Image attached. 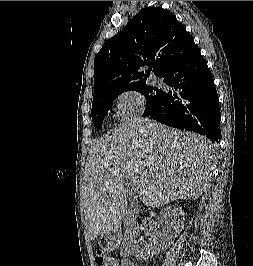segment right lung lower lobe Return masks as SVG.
<instances>
[{
    "label": "right lung lower lobe",
    "mask_w": 253,
    "mask_h": 266,
    "mask_svg": "<svg viewBox=\"0 0 253 266\" xmlns=\"http://www.w3.org/2000/svg\"><path fill=\"white\" fill-rule=\"evenodd\" d=\"M163 77L175 91L162 90L159 102L144 116L170 127L197 132L212 142H220L218 94L199 49Z\"/></svg>",
    "instance_id": "98d812e1"
}]
</instances>
